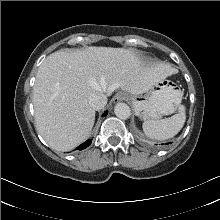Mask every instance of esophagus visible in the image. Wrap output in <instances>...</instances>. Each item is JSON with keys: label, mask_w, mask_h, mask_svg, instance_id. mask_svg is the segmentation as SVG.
Here are the masks:
<instances>
[{"label": "esophagus", "mask_w": 220, "mask_h": 220, "mask_svg": "<svg viewBox=\"0 0 220 220\" xmlns=\"http://www.w3.org/2000/svg\"><path fill=\"white\" fill-rule=\"evenodd\" d=\"M126 98V95L124 93H118L116 94L115 98H114V102H119L122 101Z\"/></svg>", "instance_id": "34e87169"}]
</instances>
